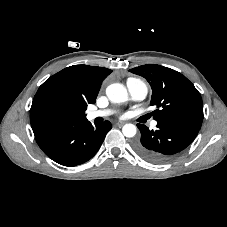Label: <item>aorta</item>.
<instances>
[{
  "label": "aorta",
  "mask_w": 227,
  "mask_h": 227,
  "mask_svg": "<svg viewBox=\"0 0 227 227\" xmlns=\"http://www.w3.org/2000/svg\"><path fill=\"white\" fill-rule=\"evenodd\" d=\"M106 95L113 103L125 102L128 98L126 88L120 83H114L106 88ZM125 137L131 138L136 135L137 129L133 124H125L122 128Z\"/></svg>",
  "instance_id": "aorta-1"
}]
</instances>
